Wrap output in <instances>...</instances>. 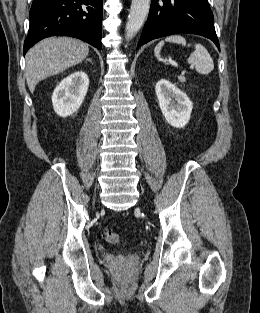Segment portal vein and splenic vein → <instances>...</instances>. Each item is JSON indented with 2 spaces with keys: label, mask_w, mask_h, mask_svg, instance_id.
<instances>
[{
  "label": "portal vein and splenic vein",
  "mask_w": 260,
  "mask_h": 313,
  "mask_svg": "<svg viewBox=\"0 0 260 313\" xmlns=\"http://www.w3.org/2000/svg\"><path fill=\"white\" fill-rule=\"evenodd\" d=\"M172 64H173V65H176V63H174V62H173ZM191 68H193V66H191ZM184 74H185V72L182 71V72H181V75H184Z\"/></svg>",
  "instance_id": "obj_1"
}]
</instances>
